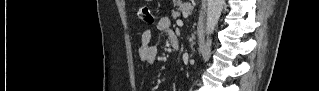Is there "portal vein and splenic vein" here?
Listing matches in <instances>:
<instances>
[{
  "instance_id": "18ae733b",
  "label": "portal vein and splenic vein",
  "mask_w": 319,
  "mask_h": 91,
  "mask_svg": "<svg viewBox=\"0 0 319 91\" xmlns=\"http://www.w3.org/2000/svg\"><path fill=\"white\" fill-rule=\"evenodd\" d=\"M176 23L178 26H183V22L181 20H177Z\"/></svg>"
}]
</instances>
